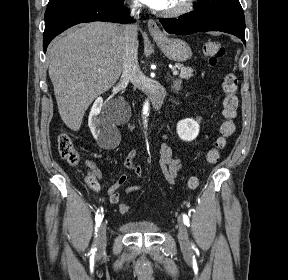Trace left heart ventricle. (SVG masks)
I'll return each mask as SVG.
<instances>
[{
  "label": "left heart ventricle",
  "instance_id": "1",
  "mask_svg": "<svg viewBox=\"0 0 288 280\" xmlns=\"http://www.w3.org/2000/svg\"><path fill=\"white\" fill-rule=\"evenodd\" d=\"M184 0H169L168 6L165 10H171L181 5Z\"/></svg>",
  "mask_w": 288,
  "mask_h": 280
}]
</instances>
